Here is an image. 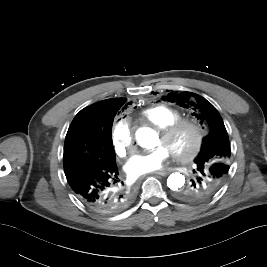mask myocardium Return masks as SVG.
<instances>
[{
  "label": "myocardium",
  "instance_id": "1",
  "mask_svg": "<svg viewBox=\"0 0 267 267\" xmlns=\"http://www.w3.org/2000/svg\"><path fill=\"white\" fill-rule=\"evenodd\" d=\"M184 126H188L193 129L195 134L193 144L185 153L173 150L171 151V154L181 162H188L199 153L205 136L203 128L197 121L191 118H179L160 128L159 134L163 139H168Z\"/></svg>",
  "mask_w": 267,
  "mask_h": 267
}]
</instances>
